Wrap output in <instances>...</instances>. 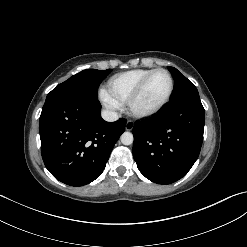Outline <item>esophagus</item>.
Masks as SVG:
<instances>
[{"label": "esophagus", "mask_w": 247, "mask_h": 247, "mask_svg": "<svg viewBox=\"0 0 247 247\" xmlns=\"http://www.w3.org/2000/svg\"><path fill=\"white\" fill-rule=\"evenodd\" d=\"M133 127H134V122L131 121V120H128L127 123H126V125H125V129L127 131H131L133 129Z\"/></svg>", "instance_id": "esophagus-1"}]
</instances>
